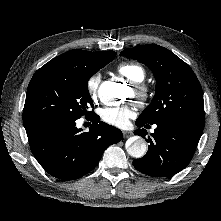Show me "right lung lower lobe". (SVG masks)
<instances>
[{
    "label": "right lung lower lobe",
    "mask_w": 221,
    "mask_h": 221,
    "mask_svg": "<svg viewBox=\"0 0 221 221\" xmlns=\"http://www.w3.org/2000/svg\"><path fill=\"white\" fill-rule=\"evenodd\" d=\"M93 114L89 132L75 120H31L24 122L31 151L40 165L62 180L78 179L93 170L105 149L118 143L122 132Z\"/></svg>",
    "instance_id": "1"
}]
</instances>
